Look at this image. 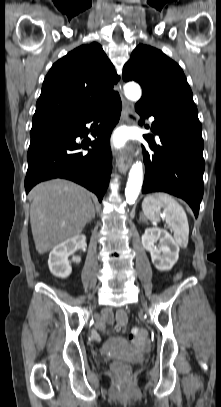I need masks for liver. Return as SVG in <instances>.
Returning <instances> with one entry per match:
<instances>
[{"label":"liver","instance_id":"liver-1","mask_svg":"<svg viewBox=\"0 0 221 407\" xmlns=\"http://www.w3.org/2000/svg\"><path fill=\"white\" fill-rule=\"evenodd\" d=\"M29 198L31 230L39 254L79 235L93 215L90 193L67 180L39 183Z\"/></svg>","mask_w":221,"mask_h":407}]
</instances>
